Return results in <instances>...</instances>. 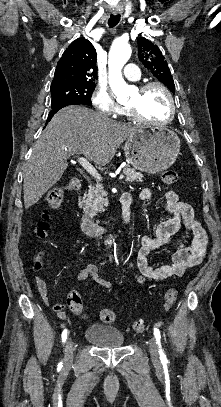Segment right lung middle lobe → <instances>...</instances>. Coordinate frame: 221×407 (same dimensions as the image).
I'll return each mask as SVG.
<instances>
[{
	"label": "right lung middle lobe",
	"instance_id": "dd1d6c3e",
	"mask_svg": "<svg viewBox=\"0 0 221 407\" xmlns=\"http://www.w3.org/2000/svg\"><path fill=\"white\" fill-rule=\"evenodd\" d=\"M94 89L95 83L91 82L73 83L51 89V106L65 102L91 105V95Z\"/></svg>",
	"mask_w": 221,
	"mask_h": 407
}]
</instances>
